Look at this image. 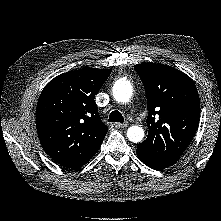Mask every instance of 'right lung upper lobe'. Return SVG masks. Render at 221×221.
I'll return each mask as SVG.
<instances>
[{"label": "right lung upper lobe", "mask_w": 221, "mask_h": 221, "mask_svg": "<svg viewBox=\"0 0 221 221\" xmlns=\"http://www.w3.org/2000/svg\"><path fill=\"white\" fill-rule=\"evenodd\" d=\"M111 69L83 68L52 79L36 108V128L44 151L62 166H78L98 152L107 133L95 95Z\"/></svg>", "instance_id": "right-lung-upper-lobe-1"}]
</instances>
